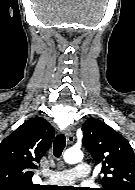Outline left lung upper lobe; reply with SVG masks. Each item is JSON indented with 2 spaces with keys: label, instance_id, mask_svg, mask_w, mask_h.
<instances>
[{
  "label": "left lung upper lobe",
  "instance_id": "1",
  "mask_svg": "<svg viewBox=\"0 0 135 190\" xmlns=\"http://www.w3.org/2000/svg\"><path fill=\"white\" fill-rule=\"evenodd\" d=\"M82 131L83 145L102 164L101 190H135V154L129 142L97 119L85 121Z\"/></svg>",
  "mask_w": 135,
  "mask_h": 190
}]
</instances>
